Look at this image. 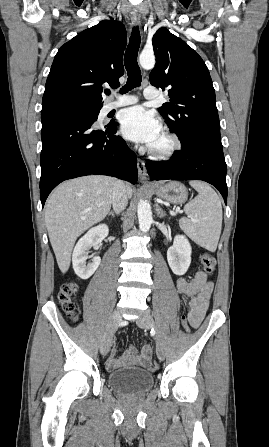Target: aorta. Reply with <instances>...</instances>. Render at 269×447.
I'll list each match as a JSON object with an SVG mask.
<instances>
[{"label":"aorta","mask_w":269,"mask_h":447,"mask_svg":"<svg viewBox=\"0 0 269 447\" xmlns=\"http://www.w3.org/2000/svg\"><path fill=\"white\" fill-rule=\"evenodd\" d=\"M139 64L144 70H152L155 66L154 54H144V52H142L139 56ZM137 214L139 229H141V231H149L152 224V212L150 206H148L144 200L138 202Z\"/></svg>","instance_id":"aorta-1"}]
</instances>
